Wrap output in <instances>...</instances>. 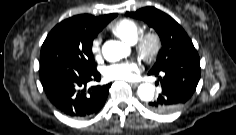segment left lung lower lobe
<instances>
[{"instance_id":"obj_1","label":"left lung lower lobe","mask_w":236,"mask_h":135,"mask_svg":"<svg viewBox=\"0 0 236 135\" xmlns=\"http://www.w3.org/2000/svg\"><path fill=\"white\" fill-rule=\"evenodd\" d=\"M160 73L164 76H159ZM148 74L159 76L161 86V93L156 100L148 103L149 108L161 114L172 113L193 96L201 75L200 58L193 54L183 65L172 66L159 72L150 71Z\"/></svg>"}]
</instances>
